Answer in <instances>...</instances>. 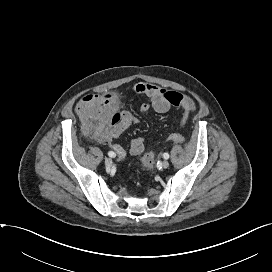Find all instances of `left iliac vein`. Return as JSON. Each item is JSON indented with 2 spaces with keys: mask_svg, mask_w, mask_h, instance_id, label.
Wrapping results in <instances>:
<instances>
[{
  "mask_svg": "<svg viewBox=\"0 0 272 272\" xmlns=\"http://www.w3.org/2000/svg\"><path fill=\"white\" fill-rule=\"evenodd\" d=\"M162 167H163V168H168V167H169V162H168L167 160H164V161L162 162Z\"/></svg>",
  "mask_w": 272,
  "mask_h": 272,
  "instance_id": "4c4485c4",
  "label": "left iliac vein"
}]
</instances>
